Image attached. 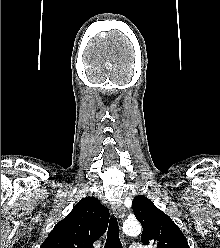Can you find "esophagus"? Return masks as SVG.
I'll use <instances>...</instances> for the list:
<instances>
[{"instance_id":"34e87169","label":"esophagus","mask_w":220,"mask_h":248,"mask_svg":"<svg viewBox=\"0 0 220 248\" xmlns=\"http://www.w3.org/2000/svg\"><path fill=\"white\" fill-rule=\"evenodd\" d=\"M113 213L120 219L125 217V208L120 202H114L112 204Z\"/></svg>"}]
</instances>
